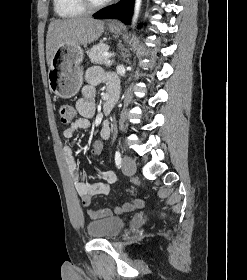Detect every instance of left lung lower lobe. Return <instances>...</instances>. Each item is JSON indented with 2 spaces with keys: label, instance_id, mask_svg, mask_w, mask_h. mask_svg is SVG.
Masks as SVG:
<instances>
[{
  "label": "left lung lower lobe",
  "instance_id": "1",
  "mask_svg": "<svg viewBox=\"0 0 247 280\" xmlns=\"http://www.w3.org/2000/svg\"><path fill=\"white\" fill-rule=\"evenodd\" d=\"M134 0H121L116 5L109 7L94 15L97 19L114 18L130 24Z\"/></svg>",
  "mask_w": 247,
  "mask_h": 280
}]
</instances>
